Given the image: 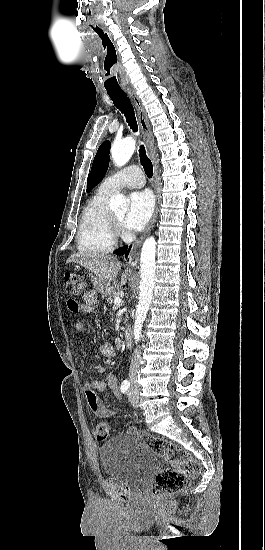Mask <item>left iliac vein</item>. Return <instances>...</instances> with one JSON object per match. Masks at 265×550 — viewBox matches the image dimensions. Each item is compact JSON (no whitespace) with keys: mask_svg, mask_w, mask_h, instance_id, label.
I'll return each mask as SVG.
<instances>
[{"mask_svg":"<svg viewBox=\"0 0 265 550\" xmlns=\"http://www.w3.org/2000/svg\"><path fill=\"white\" fill-rule=\"evenodd\" d=\"M127 396H128V400L129 402L134 406V407H138L139 405V402H138V395H137V392L134 391L133 389H130L127 393Z\"/></svg>","mask_w":265,"mask_h":550,"instance_id":"4c4485c4","label":"left iliac vein"}]
</instances>
